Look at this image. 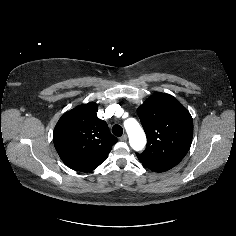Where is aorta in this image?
I'll list each match as a JSON object with an SVG mask.
<instances>
[{
	"label": "aorta",
	"instance_id": "1",
	"mask_svg": "<svg viewBox=\"0 0 236 236\" xmlns=\"http://www.w3.org/2000/svg\"><path fill=\"white\" fill-rule=\"evenodd\" d=\"M124 127L129 137L130 146L135 151H141L146 145L145 133L134 118H128L124 121Z\"/></svg>",
	"mask_w": 236,
	"mask_h": 236
}]
</instances>
